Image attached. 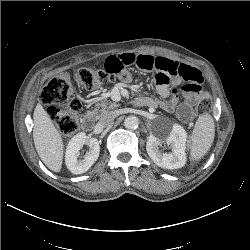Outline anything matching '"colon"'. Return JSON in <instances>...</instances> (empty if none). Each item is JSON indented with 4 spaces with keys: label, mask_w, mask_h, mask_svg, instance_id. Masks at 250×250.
<instances>
[{
    "label": "colon",
    "mask_w": 250,
    "mask_h": 250,
    "mask_svg": "<svg viewBox=\"0 0 250 250\" xmlns=\"http://www.w3.org/2000/svg\"><path fill=\"white\" fill-rule=\"evenodd\" d=\"M117 74L106 69L83 67L74 74L78 85L87 90H95L103 84L113 82ZM41 102L47 106L49 117L64 135L74 133L78 127V114L81 102L74 93L72 78L63 72L52 77L40 95ZM212 99L207 91H201L196 102V111L203 115L210 112Z\"/></svg>",
    "instance_id": "5ec220e1"
}]
</instances>
